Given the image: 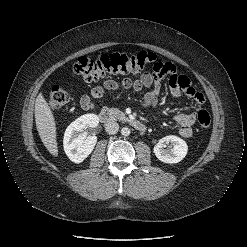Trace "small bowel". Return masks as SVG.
I'll return each mask as SVG.
<instances>
[{
	"label": "small bowel",
	"mask_w": 247,
	"mask_h": 247,
	"mask_svg": "<svg viewBox=\"0 0 247 247\" xmlns=\"http://www.w3.org/2000/svg\"><path fill=\"white\" fill-rule=\"evenodd\" d=\"M168 67L165 72L157 75L148 72L142 73L136 80L124 78L120 83L114 80H107L104 87L107 90H116L119 87L125 89H133L134 91H141L144 88L150 90L144 95L142 104L145 108H155L158 104L159 95L161 92V80L164 75L169 76V87L173 96L185 95L195 103V110L190 113H178L174 116V120L179 124V133L185 138H189L193 134V125L196 119L197 112L204 103V96L198 92L190 83V80L178 74L176 68L167 63ZM104 89L102 87H95L91 90L90 95H84L81 98L82 108L89 110L94 107V101L102 98Z\"/></svg>",
	"instance_id": "small-bowel-1"
}]
</instances>
